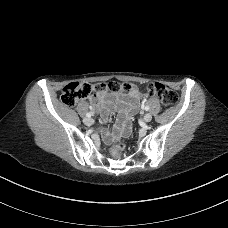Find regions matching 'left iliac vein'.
I'll list each match as a JSON object with an SVG mask.
<instances>
[{
	"label": "left iliac vein",
	"instance_id": "4c4485c4",
	"mask_svg": "<svg viewBox=\"0 0 228 228\" xmlns=\"http://www.w3.org/2000/svg\"><path fill=\"white\" fill-rule=\"evenodd\" d=\"M143 120L146 123L150 122L152 120V115L150 113L145 114Z\"/></svg>",
	"mask_w": 228,
	"mask_h": 228
}]
</instances>
